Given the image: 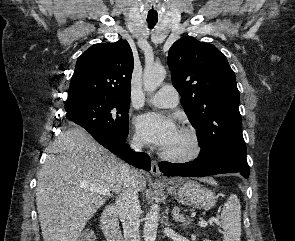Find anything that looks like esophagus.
<instances>
[{"label": "esophagus", "instance_id": "obj_1", "mask_svg": "<svg viewBox=\"0 0 295 241\" xmlns=\"http://www.w3.org/2000/svg\"><path fill=\"white\" fill-rule=\"evenodd\" d=\"M151 174L155 177L161 176V172L159 170L158 163L155 160H152V162H151Z\"/></svg>", "mask_w": 295, "mask_h": 241}]
</instances>
